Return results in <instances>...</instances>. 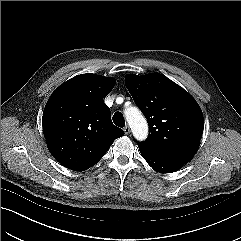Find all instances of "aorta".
I'll list each match as a JSON object with an SVG mask.
<instances>
[{"label":"aorta","instance_id":"obj_1","mask_svg":"<svg viewBox=\"0 0 241 241\" xmlns=\"http://www.w3.org/2000/svg\"><path fill=\"white\" fill-rule=\"evenodd\" d=\"M126 120L132 130L133 136L143 141L148 136V124L142 113L135 107L125 111Z\"/></svg>","mask_w":241,"mask_h":241}]
</instances>
